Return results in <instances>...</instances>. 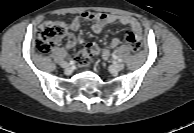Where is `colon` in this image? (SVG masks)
<instances>
[{
    "label": "colon",
    "instance_id": "1",
    "mask_svg": "<svg viewBox=\"0 0 194 133\" xmlns=\"http://www.w3.org/2000/svg\"><path fill=\"white\" fill-rule=\"evenodd\" d=\"M67 32V25L63 21H46L38 32L36 39V49L41 54H47L53 45L62 38ZM127 41L133 53L139 52L141 49L140 40L130 31L127 32ZM99 52L94 44H88L85 49L80 51L76 56V62L80 66L87 65L91 58Z\"/></svg>",
    "mask_w": 194,
    "mask_h": 133
}]
</instances>
